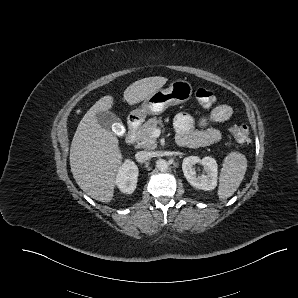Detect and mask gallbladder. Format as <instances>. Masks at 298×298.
Returning <instances> with one entry per match:
<instances>
[{
	"mask_svg": "<svg viewBox=\"0 0 298 298\" xmlns=\"http://www.w3.org/2000/svg\"><path fill=\"white\" fill-rule=\"evenodd\" d=\"M95 118L99 125L107 131H112L113 127L120 123L119 117L110 111L100 110L95 114Z\"/></svg>",
	"mask_w": 298,
	"mask_h": 298,
	"instance_id": "bac80fb5",
	"label": "gallbladder"
}]
</instances>
